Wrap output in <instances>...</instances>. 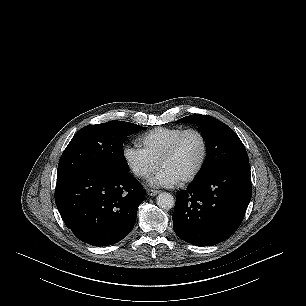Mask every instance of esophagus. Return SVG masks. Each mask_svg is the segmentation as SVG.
Masks as SVG:
<instances>
[{
  "mask_svg": "<svg viewBox=\"0 0 306 306\" xmlns=\"http://www.w3.org/2000/svg\"><path fill=\"white\" fill-rule=\"evenodd\" d=\"M159 193H160L159 190H154V189H148V190H147V194H148L149 196H155V195H157V194H159Z\"/></svg>",
  "mask_w": 306,
  "mask_h": 306,
  "instance_id": "obj_1",
  "label": "esophagus"
}]
</instances>
